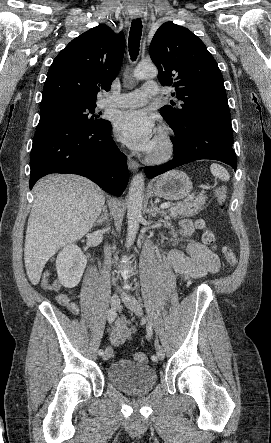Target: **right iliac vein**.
Here are the masks:
<instances>
[{"label":"right iliac vein","instance_id":"63e3f726","mask_svg":"<svg viewBox=\"0 0 271 443\" xmlns=\"http://www.w3.org/2000/svg\"><path fill=\"white\" fill-rule=\"evenodd\" d=\"M110 303H111L112 308H115V309L118 308L119 305H120V298H119V296L114 295L111 298ZM111 355H112V348L111 347H107L105 349V352H104L102 358H103V360H108L111 357Z\"/></svg>","mask_w":271,"mask_h":443}]
</instances>
